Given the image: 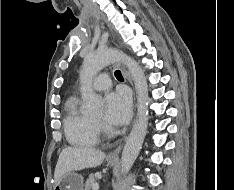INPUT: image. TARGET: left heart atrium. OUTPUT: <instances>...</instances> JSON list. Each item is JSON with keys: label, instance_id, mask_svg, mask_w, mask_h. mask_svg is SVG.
Here are the masks:
<instances>
[{"label": "left heart atrium", "instance_id": "left-heart-atrium-1", "mask_svg": "<svg viewBox=\"0 0 234 190\" xmlns=\"http://www.w3.org/2000/svg\"><path fill=\"white\" fill-rule=\"evenodd\" d=\"M105 121L113 126L124 125L131 114V99L127 91L117 90L107 93L105 97Z\"/></svg>", "mask_w": 234, "mask_h": 190}]
</instances>
